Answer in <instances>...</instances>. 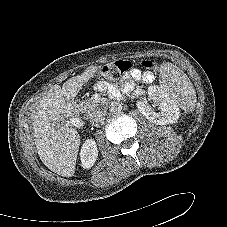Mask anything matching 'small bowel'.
<instances>
[{"label": "small bowel", "mask_w": 227, "mask_h": 227, "mask_svg": "<svg viewBox=\"0 0 227 227\" xmlns=\"http://www.w3.org/2000/svg\"><path fill=\"white\" fill-rule=\"evenodd\" d=\"M132 76H133L136 80H143V81H146V82L152 81V79H153V76H151L150 78L147 79V78L144 76V74L142 75L141 72H140L139 70H137V69H135V70L132 72ZM104 87H105V84H102V83L98 84V88H99V89H104Z\"/></svg>", "instance_id": "small-bowel-1"}]
</instances>
